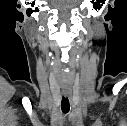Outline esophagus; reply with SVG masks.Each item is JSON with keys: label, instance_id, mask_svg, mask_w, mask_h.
<instances>
[{"label": "esophagus", "instance_id": "34e87169", "mask_svg": "<svg viewBox=\"0 0 127 126\" xmlns=\"http://www.w3.org/2000/svg\"><path fill=\"white\" fill-rule=\"evenodd\" d=\"M63 93L66 97H69L71 95V92L67 90H65Z\"/></svg>", "mask_w": 127, "mask_h": 126}]
</instances>
